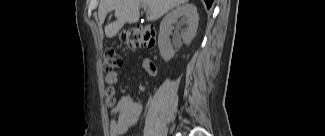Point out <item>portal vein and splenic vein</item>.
<instances>
[{"instance_id":"1","label":"portal vein and splenic vein","mask_w":325,"mask_h":136,"mask_svg":"<svg viewBox=\"0 0 325 136\" xmlns=\"http://www.w3.org/2000/svg\"><path fill=\"white\" fill-rule=\"evenodd\" d=\"M143 8H144V10H147V6L146 5H143Z\"/></svg>"}]
</instances>
